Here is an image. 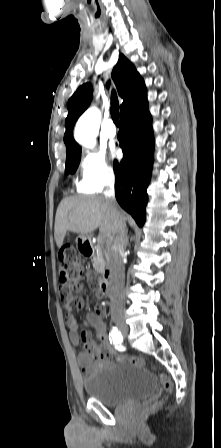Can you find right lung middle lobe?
Wrapping results in <instances>:
<instances>
[{
    "label": "right lung middle lobe",
    "mask_w": 221,
    "mask_h": 448,
    "mask_svg": "<svg viewBox=\"0 0 221 448\" xmlns=\"http://www.w3.org/2000/svg\"><path fill=\"white\" fill-rule=\"evenodd\" d=\"M81 152L66 158L65 174L74 173L80 163Z\"/></svg>",
    "instance_id": "obj_1"
}]
</instances>
